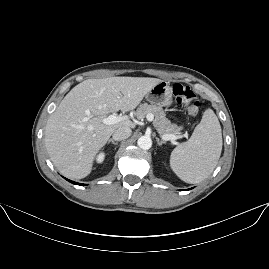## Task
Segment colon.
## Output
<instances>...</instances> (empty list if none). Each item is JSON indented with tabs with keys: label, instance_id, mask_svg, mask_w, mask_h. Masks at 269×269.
I'll list each match as a JSON object with an SVG mask.
<instances>
[{
	"label": "colon",
	"instance_id": "5ec220e1",
	"mask_svg": "<svg viewBox=\"0 0 269 269\" xmlns=\"http://www.w3.org/2000/svg\"><path fill=\"white\" fill-rule=\"evenodd\" d=\"M172 94L175 103L183 104L190 116L195 117L199 115L201 101L189 87L176 82L172 86Z\"/></svg>",
	"mask_w": 269,
	"mask_h": 269
}]
</instances>
